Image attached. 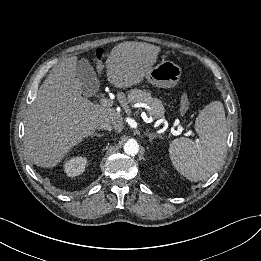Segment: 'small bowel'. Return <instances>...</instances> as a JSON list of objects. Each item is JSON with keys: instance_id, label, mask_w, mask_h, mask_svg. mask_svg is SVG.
Returning <instances> with one entry per match:
<instances>
[{"instance_id": "1", "label": "small bowel", "mask_w": 261, "mask_h": 261, "mask_svg": "<svg viewBox=\"0 0 261 261\" xmlns=\"http://www.w3.org/2000/svg\"><path fill=\"white\" fill-rule=\"evenodd\" d=\"M181 112L184 113L189 107V99L186 93L182 94L180 99Z\"/></svg>"}]
</instances>
